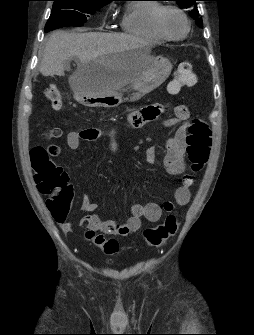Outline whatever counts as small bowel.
<instances>
[{"instance_id":"small-bowel-1","label":"small bowel","mask_w":254,"mask_h":335,"mask_svg":"<svg viewBox=\"0 0 254 335\" xmlns=\"http://www.w3.org/2000/svg\"><path fill=\"white\" fill-rule=\"evenodd\" d=\"M171 110L175 115L174 117L160 120L163 126L176 127L174 137L166 144L164 167L169 174L180 176L181 185L176 189L174 201L177 205L184 206L190 201V186L192 184L191 177L185 173L186 129L189 124L190 112L184 104H172ZM161 112V105L145 106L132 112L128 117V121L132 126L139 127L146 122L158 120ZM62 135V129L54 127L50 130L48 136L50 139H59ZM105 136L109 138L111 152L117 155L119 153V144L114 129H110L107 133L95 128L71 131L67 135V145L69 149L77 150L82 141H94ZM53 147L58 146L50 144L48 149ZM145 154L148 163L153 164L156 162L157 150L154 146L148 147ZM82 209L89 214L81 219L80 224H86L89 230L109 235L127 236L140 230L142 218L149 222H157L163 211H171L173 209V203L166 201L162 206L156 203H147L145 205L133 203L130 208V217L125 223L115 220H103L98 214H95L94 211L98 209V204L94 203L88 194L83 196ZM66 216L53 215L61 230L64 233H70L73 231V224L67 220Z\"/></svg>"}]
</instances>
